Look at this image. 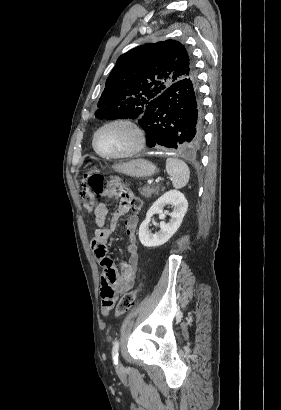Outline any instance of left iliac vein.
Here are the masks:
<instances>
[{
    "mask_svg": "<svg viewBox=\"0 0 281 410\" xmlns=\"http://www.w3.org/2000/svg\"><path fill=\"white\" fill-rule=\"evenodd\" d=\"M117 369H122V364L120 362L117 364Z\"/></svg>",
    "mask_w": 281,
    "mask_h": 410,
    "instance_id": "1",
    "label": "left iliac vein"
}]
</instances>
